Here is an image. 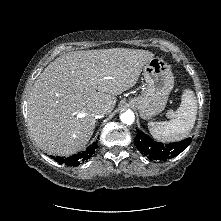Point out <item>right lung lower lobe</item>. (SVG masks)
<instances>
[{"label": "right lung lower lobe", "instance_id": "98d812e1", "mask_svg": "<svg viewBox=\"0 0 221 221\" xmlns=\"http://www.w3.org/2000/svg\"><path fill=\"white\" fill-rule=\"evenodd\" d=\"M97 148V141L94 142L92 145H90L89 147H87L86 150L72 155L70 157L67 158H63V157H54L52 156V158L61 164H65L67 166H78L79 164H81L82 162H84L85 160H88L90 157H92V155L95 153V149Z\"/></svg>", "mask_w": 221, "mask_h": 221}]
</instances>
